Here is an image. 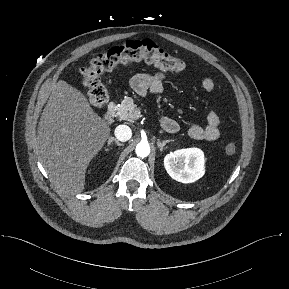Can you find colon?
<instances>
[{"label": "colon", "mask_w": 289, "mask_h": 289, "mask_svg": "<svg viewBox=\"0 0 289 289\" xmlns=\"http://www.w3.org/2000/svg\"><path fill=\"white\" fill-rule=\"evenodd\" d=\"M131 61H145L162 70L177 73L185 69V63L181 58L168 53L151 40L127 41L99 54L81 69L83 84L87 88L93 106L102 107L108 99L101 75ZM224 151L227 155H233L236 152V145L228 143Z\"/></svg>", "instance_id": "5ec220e1"}]
</instances>
